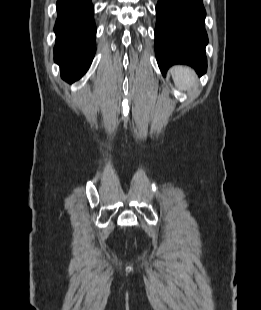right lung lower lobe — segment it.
<instances>
[{"instance_id": "98d812e1", "label": "right lung lower lobe", "mask_w": 261, "mask_h": 310, "mask_svg": "<svg viewBox=\"0 0 261 310\" xmlns=\"http://www.w3.org/2000/svg\"><path fill=\"white\" fill-rule=\"evenodd\" d=\"M54 60L72 83L88 70L95 54L96 27L91 0H58Z\"/></svg>"}]
</instances>
